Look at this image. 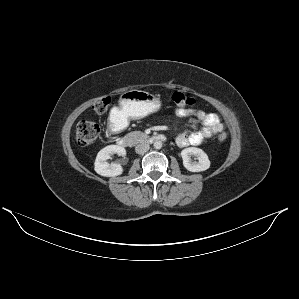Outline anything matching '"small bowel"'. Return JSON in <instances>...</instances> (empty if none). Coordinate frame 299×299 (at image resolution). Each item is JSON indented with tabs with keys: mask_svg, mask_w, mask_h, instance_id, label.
I'll return each instance as SVG.
<instances>
[{
	"mask_svg": "<svg viewBox=\"0 0 299 299\" xmlns=\"http://www.w3.org/2000/svg\"><path fill=\"white\" fill-rule=\"evenodd\" d=\"M175 114L179 117H194L203 125L198 131L180 133L176 137L179 147L200 145L205 139L224 131L223 121L214 113L194 108H177Z\"/></svg>",
	"mask_w": 299,
	"mask_h": 299,
	"instance_id": "small-bowel-1",
	"label": "small bowel"
}]
</instances>
